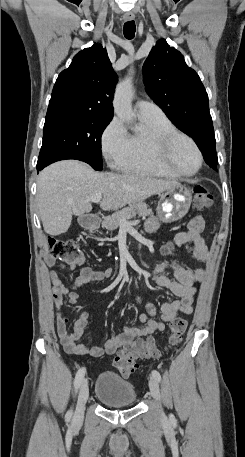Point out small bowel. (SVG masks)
<instances>
[{
	"mask_svg": "<svg viewBox=\"0 0 245 457\" xmlns=\"http://www.w3.org/2000/svg\"><path fill=\"white\" fill-rule=\"evenodd\" d=\"M160 222L156 217H151L146 222L148 232L156 231ZM205 221L202 215L197 214L188 223L187 230L178 232L174 236V243L178 246L190 244L193 246L194 256L204 262L207 259L208 251L202 232ZM45 264L48 268L59 265L61 268L73 270L76 262L72 260L57 259L51 255L45 257ZM172 271V277L164 274L166 269ZM204 270L199 268L194 271L185 268L175 261L161 262L154 268L152 279L157 286L171 292L178 300L168 301L161 305L158 311L155 305L136 296L135 301L145 309L139 316L138 324L124 325L121 331L107 340L102 346H86L78 343L83 336L89 323V315L85 312L79 314L74 322L73 331L69 332L67 318L60 314L64 299L68 298L71 304L76 303L78 295L75 290L85 283L99 282L112 276L110 269L95 271L90 267L81 269L80 274L71 285L64 283L53 270L48 271V277L52 286V300L56 311V330L60 342L67 353L78 356L100 357L112 355L127 343L139 337L151 336L165 330V323L175 319L180 313L190 314L193 312V300L196 294L195 284L204 277ZM158 316L159 319L151 317Z\"/></svg>",
	"mask_w": 245,
	"mask_h": 457,
	"instance_id": "1",
	"label": "small bowel"
}]
</instances>
